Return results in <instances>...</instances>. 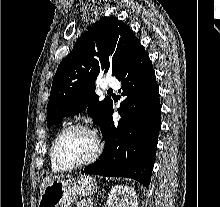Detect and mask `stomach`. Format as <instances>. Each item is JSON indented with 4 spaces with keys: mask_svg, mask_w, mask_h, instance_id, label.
Here are the masks:
<instances>
[{
    "mask_svg": "<svg viewBox=\"0 0 220 207\" xmlns=\"http://www.w3.org/2000/svg\"><path fill=\"white\" fill-rule=\"evenodd\" d=\"M96 189L97 183L92 176L52 179L41 193L38 207H69L77 198L90 196Z\"/></svg>",
    "mask_w": 220,
    "mask_h": 207,
    "instance_id": "stomach-1",
    "label": "stomach"
}]
</instances>
